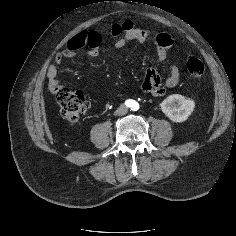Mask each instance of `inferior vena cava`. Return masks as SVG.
I'll use <instances>...</instances> for the list:
<instances>
[{
    "label": "inferior vena cava",
    "instance_id": "602c4592",
    "mask_svg": "<svg viewBox=\"0 0 236 236\" xmlns=\"http://www.w3.org/2000/svg\"><path fill=\"white\" fill-rule=\"evenodd\" d=\"M128 108L125 105H120V107L115 111V115H125Z\"/></svg>",
    "mask_w": 236,
    "mask_h": 236
}]
</instances>
